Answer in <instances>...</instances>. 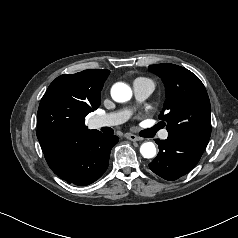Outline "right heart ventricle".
<instances>
[{
	"instance_id": "obj_1",
	"label": "right heart ventricle",
	"mask_w": 238,
	"mask_h": 238,
	"mask_svg": "<svg viewBox=\"0 0 238 238\" xmlns=\"http://www.w3.org/2000/svg\"><path fill=\"white\" fill-rule=\"evenodd\" d=\"M138 79H147V78L140 77V78H137L136 80H138Z\"/></svg>"
}]
</instances>
